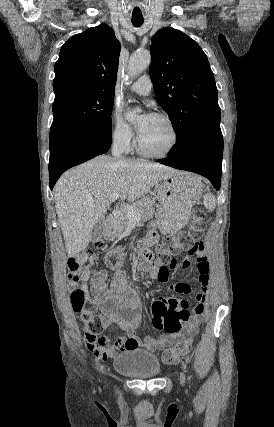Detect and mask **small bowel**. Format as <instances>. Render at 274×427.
<instances>
[{
    "label": "small bowel",
    "mask_w": 274,
    "mask_h": 427,
    "mask_svg": "<svg viewBox=\"0 0 274 427\" xmlns=\"http://www.w3.org/2000/svg\"><path fill=\"white\" fill-rule=\"evenodd\" d=\"M155 241L156 232L152 230L145 243L151 246ZM196 251L199 252L196 258L199 277L190 275L188 281L177 280L175 286L169 285L167 287L169 296L166 291H163L162 299H152L151 311L149 312L152 326L157 327L158 332L169 333V335L164 334L158 338L147 336L140 339L136 335V330L143 318L142 305L138 294L128 285L126 272L121 268V262L124 257L122 248H114L107 254L106 264L108 268L116 269L109 287L106 285L107 274L105 271L93 272L90 267H85L80 271V289L83 291L85 298L92 300L99 309V317L104 327H117L126 332L125 336L117 338L111 345L107 344L103 336L89 337L86 332V345L97 360H112L117 357L119 352L130 353L138 350L154 352L159 350L161 345H171L177 338H186L187 332H192L193 336L197 333L198 325L205 310L209 284V266L208 264H203L208 262L203 252V246L197 245ZM196 251L190 248L187 254L193 257ZM189 264V259H185L180 263V267L187 268ZM136 268L146 272L151 279L159 280L160 282H168L169 278L176 276L177 271L175 264H167L165 269L159 271L156 265L145 259H141L136 264ZM197 281H199L200 290L195 295L196 302L192 307V319L183 334V327L186 326V320L189 318L188 311L167 310H190L191 302L182 301L179 293H189L191 290L190 285L195 284ZM176 290L178 293H175ZM164 316L168 320L167 323Z\"/></svg>",
    "instance_id": "small-bowel-1"
}]
</instances>
